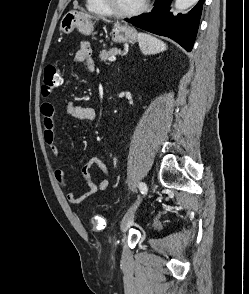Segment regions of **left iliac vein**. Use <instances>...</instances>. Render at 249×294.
<instances>
[{
    "mask_svg": "<svg viewBox=\"0 0 249 294\" xmlns=\"http://www.w3.org/2000/svg\"><path fill=\"white\" fill-rule=\"evenodd\" d=\"M140 202H141V198H138L136 203L132 206V208L125 215V217L121 223L122 233H126L128 231V229L133 225V221H134L133 214H134V211L136 210V208L138 207V205L140 204Z\"/></svg>",
    "mask_w": 249,
    "mask_h": 294,
    "instance_id": "obj_1",
    "label": "left iliac vein"
}]
</instances>
